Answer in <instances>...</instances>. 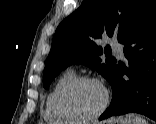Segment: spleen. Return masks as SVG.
Instances as JSON below:
<instances>
[{
  "mask_svg": "<svg viewBox=\"0 0 156 124\" xmlns=\"http://www.w3.org/2000/svg\"><path fill=\"white\" fill-rule=\"evenodd\" d=\"M126 123L127 124H148V122H146V120L143 117L135 114H128L126 116Z\"/></svg>",
  "mask_w": 156,
  "mask_h": 124,
  "instance_id": "spleen-1",
  "label": "spleen"
}]
</instances>
